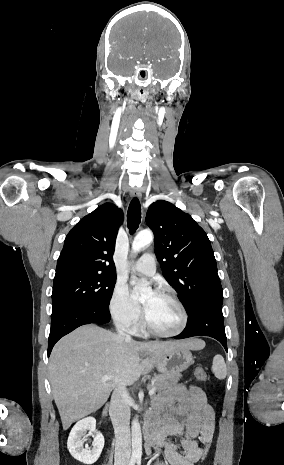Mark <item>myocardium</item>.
I'll return each instance as SVG.
<instances>
[{
	"label": "myocardium",
	"instance_id": "f54148a6",
	"mask_svg": "<svg viewBox=\"0 0 284 465\" xmlns=\"http://www.w3.org/2000/svg\"><path fill=\"white\" fill-rule=\"evenodd\" d=\"M157 294L164 296L165 298L170 300L176 306V308L178 309V311L180 313V316H181L180 325L177 328V330H175L174 332H171V333H159V332L154 331L150 327V325L147 323L148 319L146 318L145 314L142 313V318H141V320H142L141 321L142 328L144 329V331L148 335H150V336H152L154 338L173 339V338L179 337L185 331V329L187 327V324H188V314H187V311H186L185 307L183 306V304L180 302V300L176 296H174L172 293H170L167 290H159L157 292Z\"/></svg>",
	"mask_w": 284,
	"mask_h": 465
}]
</instances>
